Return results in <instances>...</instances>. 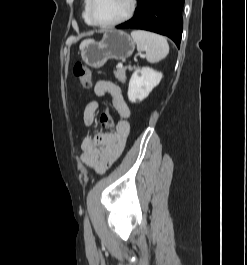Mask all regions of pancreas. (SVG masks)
Listing matches in <instances>:
<instances>
[{
	"label": "pancreas",
	"instance_id": "pancreas-1",
	"mask_svg": "<svg viewBox=\"0 0 247 265\" xmlns=\"http://www.w3.org/2000/svg\"><path fill=\"white\" fill-rule=\"evenodd\" d=\"M126 70L125 67H117V70L114 71L115 77L118 79V81L124 83L126 81Z\"/></svg>",
	"mask_w": 247,
	"mask_h": 265
}]
</instances>
